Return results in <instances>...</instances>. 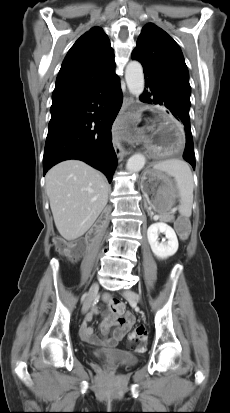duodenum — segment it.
<instances>
[{"mask_svg":"<svg viewBox=\"0 0 230 413\" xmlns=\"http://www.w3.org/2000/svg\"><path fill=\"white\" fill-rule=\"evenodd\" d=\"M93 235H94V232H92L90 236H93Z\"/></svg>","mask_w":230,"mask_h":413,"instance_id":"duodenum-1","label":"duodenum"}]
</instances>
